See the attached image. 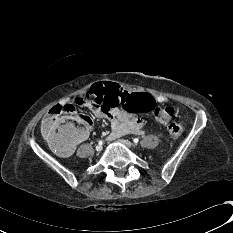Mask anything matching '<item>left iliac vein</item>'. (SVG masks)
Returning a JSON list of instances; mask_svg holds the SVG:
<instances>
[{
  "mask_svg": "<svg viewBox=\"0 0 233 233\" xmlns=\"http://www.w3.org/2000/svg\"><path fill=\"white\" fill-rule=\"evenodd\" d=\"M121 143H123L124 145H126L129 148H133L134 147L133 143H131L128 140H121Z\"/></svg>",
  "mask_w": 233,
  "mask_h": 233,
  "instance_id": "obj_1",
  "label": "left iliac vein"
}]
</instances>
